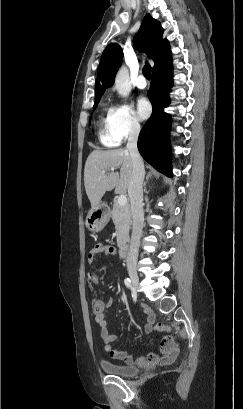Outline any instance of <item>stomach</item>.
Returning a JSON list of instances; mask_svg holds the SVG:
<instances>
[{
	"mask_svg": "<svg viewBox=\"0 0 243 409\" xmlns=\"http://www.w3.org/2000/svg\"><path fill=\"white\" fill-rule=\"evenodd\" d=\"M110 219V210L106 204L100 203L92 208L86 217V227L92 232H100Z\"/></svg>",
	"mask_w": 243,
	"mask_h": 409,
	"instance_id": "stomach-1",
	"label": "stomach"
}]
</instances>
